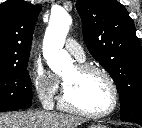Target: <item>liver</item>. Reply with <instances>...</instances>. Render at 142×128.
Segmentation results:
<instances>
[{"label":"liver","mask_w":142,"mask_h":128,"mask_svg":"<svg viewBox=\"0 0 142 128\" xmlns=\"http://www.w3.org/2000/svg\"><path fill=\"white\" fill-rule=\"evenodd\" d=\"M81 119L53 111L0 113V128H77Z\"/></svg>","instance_id":"6515ba94"}]
</instances>
